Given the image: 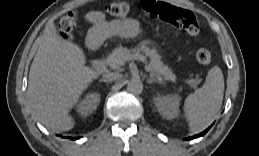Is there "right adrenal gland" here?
<instances>
[{
  "label": "right adrenal gland",
  "instance_id": "1",
  "mask_svg": "<svg viewBox=\"0 0 259 156\" xmlns=\"http://www.w3.org/2000/svg\"><path fill=\"white\" fill-rule=\"evenodd\" d=\"M99 81H100V82H108V83H110V81L105 80V79H100Z\"/></svg>",
  "mask_w": 259,
  "mask_h": 156
}]
</instances>
